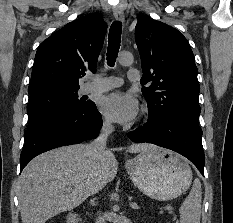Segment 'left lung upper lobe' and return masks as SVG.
<instances>
[{"label": "left lung upper lobe", "mask_w": 233, "mask_h": 223, "mask_svg": "<svg viewBox=\"0 0 233 223\" xmlns=\"http://www.w3.org/2000/svg\"><path fill=\"white\" fill-rule=\"evenodd\" d=\"M135 40L143 70L140 83L153 81L142 88L148 103V121H198V70L186 38L177 29L143 16L138 18Z\"/></svg>", "instance_id": "obj_1"}]
</instances>
